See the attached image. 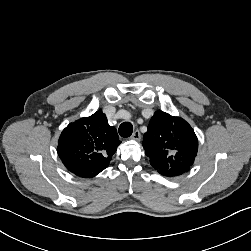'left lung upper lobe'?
<instances>
[{"mask_svg":"<svg viewBox=\"0 0 251 251\" xmlns=\"http://www.w3.org/2000/svg\"><path fill=\"white\" fill-rule=\"evenodd\" d=\"M143 147L156 170L180 174L188 171L193 164L198 140L185 120L156 111L144 134Z\"/></svg>","mask_w":251,"mask_h":251,"instance_id":"1","label":"left lung upper lobe"}]
</instances>
